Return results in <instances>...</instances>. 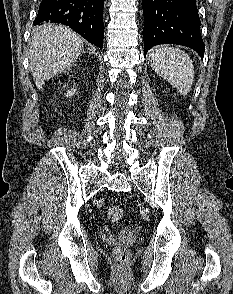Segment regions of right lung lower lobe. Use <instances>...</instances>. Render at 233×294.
Listing matches in <instances>:
<instances>
[{
  "label": "right lung lower lobe",
  "instance_id": "right-lung-lower-lobe-1",
  "mask_svg": "<svg viewBox=\"0 0 233 294\" xmlns=\"http://www.w3.org/2000/svg\"><path fill=\"white\" fill-rule=\"evenodd\" d=\"M103 6L104 0H42L33 24L50 21L67 25L102 48Z\"/></svg>",
  "mask_w": 233,
  "mask_h": 294
}]
</instances>
